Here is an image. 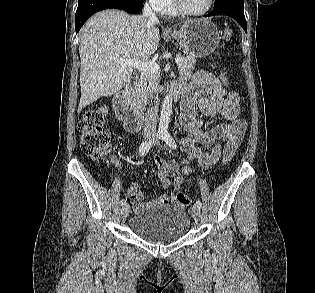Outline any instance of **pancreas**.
Returning a JSON list of instances; mask_svg holds the SVG:
<instances>
[{
	"label": "pancreas",
	"instance_id": "1",
	"mask_svg": "<svg viewBox=\"0 0 315 293\" xmlns=\"http://www.w3.org/2000/svg\"><path fill=\"white\" fill-rule=\"evenodd\" d=\"M182 63L178 64V70L181 79H190L192 70L196 64V60L193 58L182 57ZM158 77L150 72L145 73L139 83L135 86L130 95V102L135 107L144 108L148 101L149 95L152 90L158 89L157 83Z\"/></svg>",
	"mask_w": 315,
	"mask_h": 293
}]
</instances>
